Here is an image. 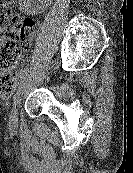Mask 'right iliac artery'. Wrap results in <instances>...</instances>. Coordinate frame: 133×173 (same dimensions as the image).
Listing matches in <instances>:
<instances>
[{"instance_id":"1","label":"right iliac artery","mask_w":133,"mask_h":173,"mask_svg":"<svg viewBox=\"0 0 133 173\" xmlns=\"http://www.w3.org/2000/svg\"><path fill=\"white\" fill-rule=\"evenodd\" d=\"M28 73V68H24L23 70H21L20 74H19V78L22 80L25 78V76Z\"/></svg>"}]
</instances>
